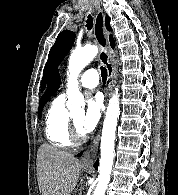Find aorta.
Instances as JSON below:
<instances>
[{
	"instance_id": "aorta-1",
	"label": "aorta",
	"mask_w": 178,
	"mask_h": 195,
	"mask_svg": "<svg viewBox=\"0 0 178 195\" xmlns=\"http://www.w3.org/2000/svg\"><path fill=\"white\" fill-rule=\"evenodd\" d=\"M96 46L87 45L82 49L74 51L68 63L67 108L73 111L75 108L84 105V99L79 91L78 76L97 55ZM120 115L118 89L109 100L106 117L103 124L101 136V158L99 163L98 184L94 195H104L110 181L111 170L114 159V144L116 138L117 119Z\"/></svg>"
}]
</instances>
